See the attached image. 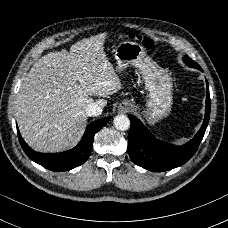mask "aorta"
I'll use <instances>...</instances> for the list:
<instances>
[{"mask_svg": "<svg viewBox=\"0 0 228 228\" xmlns=\"http://www.w3.org/2000/svg\"><path fill=\"white\" fill-rule=\"evenodd\" d=\"M113 123H114L115 128L120 131H126L130 127V120L124 114L115 116Z\"/></svg>", "mask_w": 228, "mask_h": 228, "instance_id": "aorta-1", "label": "aorta"}]
</instances>
